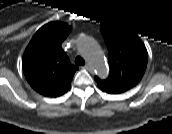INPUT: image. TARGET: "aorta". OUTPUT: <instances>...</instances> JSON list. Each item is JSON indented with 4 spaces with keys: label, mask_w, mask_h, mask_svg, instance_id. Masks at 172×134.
Returning <instances> with one entry per match:
<instances>
[{
    "label": "aorta",
    "mask_w": 172,
    "mask_h": 134,
    "mask_svg": "<svg viewBox=\"0 0 172 134\" xmlns=\"http://www.w3.org/2000/svg\"><path fill=\"white\" fill-rule=\"evenodd\" d=\"M83 52L92 70L99 77L105 78L108 75V67L100 46L93 40H85Z\"/></svg>",
    "instance_id": "1"
}]
</instances>
